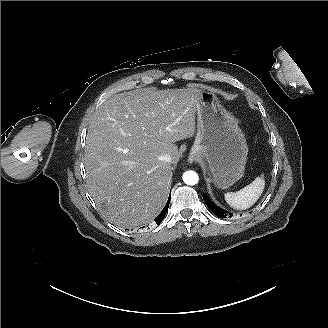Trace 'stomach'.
Listing matches in <instances>:
<instances>
[{
    "label": "stomach",
    "instance_id": "obj_1",
    "mask_svg": "<svg viewBox=\"0 0 328 328\" xmlns=\"http://www.w3.org/2000/svg\"><path fill=\"white\" fill-rule=\"evenodd\" d=\"M199 91L198 132L190 157L200 154L209 178L224 190L243 177L248 145L239 122L219 104L214 91L206 87Z\"/></svg>",
    "mask_w": 328,
    "mask_h": 328
}]
</instances>
